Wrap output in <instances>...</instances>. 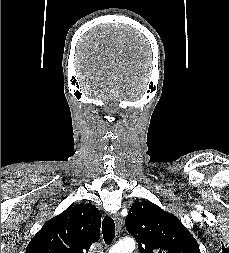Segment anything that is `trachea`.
I'll use <instances>...</instances> for the list:
<instances>
[{
	"mask_svg": "<svg viewBox=\"0 0 229 253\" xmlns=\"http://www.w3.org/2000/svg\"><path fill=\"white\" fill-rule=\"evenodd\" d=\"M103 239L106 244H110L115 236V223L114 220L106 216L102 222Z\"/></svg>",
	"mask_w": 229,
	"mask_h": 253,
	"instance_id": "obj_1",
	"label": "trachea"
}]
</instances>
